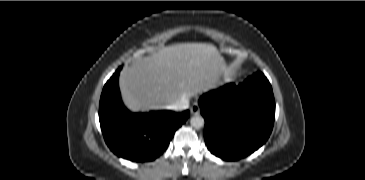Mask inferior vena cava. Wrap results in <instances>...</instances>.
<instances>
[{
	"mask_svg": "<svg viewBox=\"0 0 365 180\" xmlns=\"http://www.w3.org/2000/svg\"><path fill=\"white\" fill-rule=\"evenodd\" d=\"M188 107H189V100L186 98H181L179 101L175 102L174 104L167 106V109L181 111V110L187 109Z\"/></svg>",
	"mask_w": 365,
	"mask_h": 180,
	"instance_id": "inferior-vena-cava-1",
	"label": "inferior vena cava"
}]
</instances>
